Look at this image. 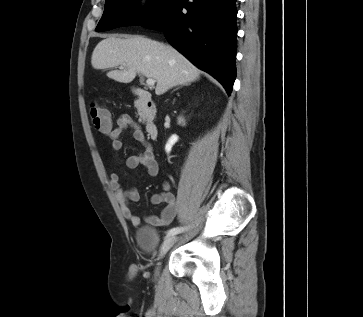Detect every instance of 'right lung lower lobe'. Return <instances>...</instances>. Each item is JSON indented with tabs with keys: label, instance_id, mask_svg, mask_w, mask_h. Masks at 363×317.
<instances>
[{
	"label": "right lung lower lobe",
	"instance_id": "1",
	"mask_svg": "<svg viewBox=\"0 0 363 317\" xmlns=\"http://www.w3.org/2000/svg\"><path fill=\"white\" fill-rule=\"evenodd\" d=\"M236 0H175L143 27L164 32L168 42L231 94L236 78ZM187 13L184 14L182 9Z\"/></svg>",
	"mask_w": 363,
	"mask_h": 317
}]
</instances>
